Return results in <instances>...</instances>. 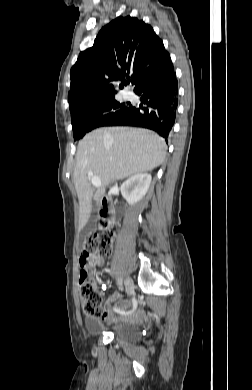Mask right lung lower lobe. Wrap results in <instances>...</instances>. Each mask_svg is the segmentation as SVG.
<instances>
[{
	"label": "right lung lower lobe",
	"instance_id": "right-lung-lower-lobe-1",
	"mask_svg": "<svg viewBox=\"0 0 252 390\" xmlns=\"http://www.w3.org/2000/svg\"><path fill=\"white\" fill-rule=\"evenodd\" d=\"M147 108L130 106L129 109L106 126H138L156 131L167 137L175 123L178 106V82L175 71L167 75L152 78L143 83L136 91Z\"/></svg>",
	"mask_w": 252,
	"mask_h": 390
}]
</instances>
